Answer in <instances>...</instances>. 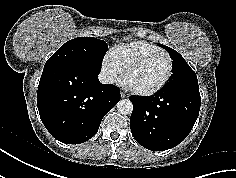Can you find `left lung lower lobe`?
Here are the masks:
<instances>
[{"label": "left lung lower lobe", "instance_id": "1", "mask_svg": "<svg viewBox=\"0 0 236 178\" xmlns=\"http://www.w3.org/2000/svg\"><path fill=\"white\" fill-rule=\"evenodd\" d=\"M130 100L132 135L152 151L181 143L193 128L201 105L198 81L167 82L155 95Z\"/></svg>", "mask_w": 236, "mask_h": 178}]
</instances>
